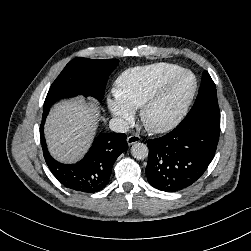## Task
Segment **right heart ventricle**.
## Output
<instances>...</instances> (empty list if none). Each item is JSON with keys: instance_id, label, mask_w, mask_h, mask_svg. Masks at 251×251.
I'll return each instance as SVG.
<instances>
[{"instance_id": "right-heart-ventricle-1", "label": "right heart ventricle", "mask_w": 251, "mask_h": 251, "mask_svg": "<svg viewBox=\"0 0 251 251\" xmlns=\"http://www.w3.org/2000/svg\"><path fill=\"white\" fill-rule=\"evenodd\" d=\"M182 69L166 62L127 69L116 79L115 94L131 109H139L164 80Z\"/></svg>"}]
</instances>
